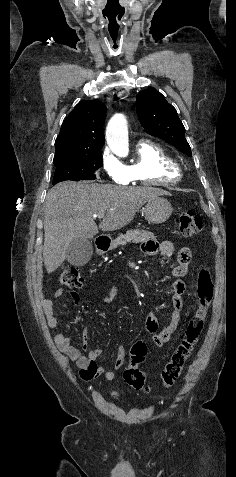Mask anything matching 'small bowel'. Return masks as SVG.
Returning a JSON list of instances; mask_svg holds the SVG:
<instances>
[{
    "instance_id": "small-bowel-1",
    "label": "small bowel",
    "mask_w": 236,
    "mask_h": 477,
    "mask_svg": "<svg viewBox=\"0 0 236 477\" xmlns=\"http://www.w3.org/2000/svg\"><path fill=\"white\" fill-rule=\"evenodd\" d=\"M142 250L146 255L153 256L160 254L163 258L169 259L175 253V246L172 241L165 240L161 243H156L154 241H147L142 245ZM191 252L188 248L183 247L177 253L178 264L174 268L172 275L175 278H180L184 276L190 266L191 262ZM119 288L117 285H111L104 297V303H110L118 294ZM63 290L58 289L53 294L54 299H59L63 296ZM185 293V286L182 281L176 279L173 283V292H172V311L170 314V319L167 325L162 329L158 330V322L155 316L149 315L146 320V329L151 333L153 337V342L156 347H163L169 342L173 333L177 330L180 321L181 313L183 308V295ZM74 300L77 301L78 297L74 296ZM42 309L48 324V327L52 330L58 327V320L55 315V306L54 300L45 299L42 302ZM90 328H86L83 332V349L86 352L83 354L78 348L71 345L70 340L62 333H57L54 335V342L59 348V350L65 354L71 361L76 362L77 366L80 369V377L83 380H91L93 378L103 376L106 380H113L116 376L114 370H105L103 367L99 366L96 363V359L101 355L102 350L100 348H95L87 350L88 348V339H89ZM126 348L124 346H119L116 351V358L114 361V368L120 369L125 361Z\"/></svg>"
}]
</instances>
